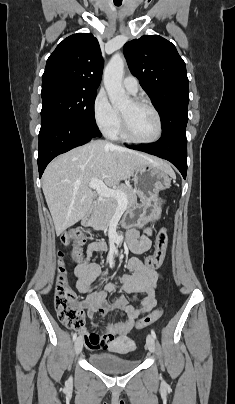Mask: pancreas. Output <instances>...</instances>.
Here are the masks:
<instances>
[{
  "label": "pancreas",
  "mask_w": 235,
  "mask_h": 404,
  "mask_svg": "<svg viewBox=\"0 0 235 404\" xmlns=\"http://www.w3.org/2000/svg\"><path fill=\"white\" fill-rule=\"evenodd\" d=\"M117 190L125 194L127 198L126 207H132L137 203L136 190L131 186L123 184L120 185ZM118 206L119 202L115 198H105L92 215V227L96 230H105L110 225Z\"/></svg>",
  "instance_id": "pancreas-1"
}]
</instances>
